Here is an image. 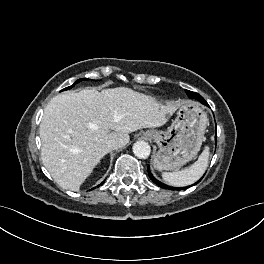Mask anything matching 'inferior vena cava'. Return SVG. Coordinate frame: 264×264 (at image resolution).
Returning <instances> with one entry per match:
<instances>
[{"instance_id": "obj_1", "label": "inferior vena cava", "mask_w": 264, "mask_h": 264, "mask_svg": "<svg viewBox=\"0 0 264 264\" xmlns=\"http://www.w3.org/2000/svg\"><path fill=\"white\" fill-rule=\"evenodd\" d=\"M103 148L105 151L109 152V151H112V150L119 148V146H118V143L116 141L110 140L104 144Z\"/></svg>"}]
</instances>
